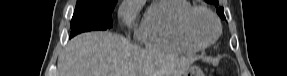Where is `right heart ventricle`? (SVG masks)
Masks as SVG:
<instances>
[{"label": "right heart ventricle", "instance_id": "right-heart-ventricle-1", "mask_svg": "<svg viewBox=\"0 0 287 76\" xmlns=\"http://www.w3.org/2000/svg\"><path fill=\"white\" fill-rule=\"evenodd\" d=\"M192 5L187 0H159L146 11L137 39L147 48L174 52L194 53L200 49L186 40L181 31V18Z\"/></svg>", "mask_w": 287, "mask_h": 76}]
</instances>
